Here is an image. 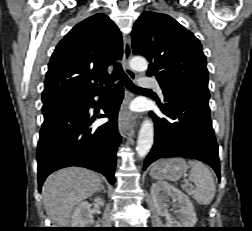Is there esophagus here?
Masks as SVG:
<instances>
[{
  "instance_id": "obj_1",
  "label": "esophagus",
  "mask_w": 252,
  "mask_h": 231,
  "mask_svg": "<svg viewBox=\"0 0 252 231\" xmlns=\"http://www.w3.org/2000/svg\"><path fill=\"white\" fill-rule=\"evenodd\" d=\"M123 46H124V56H123V68L127 75L132 79L136 80V73L130 68L129 61L132 55V48L129 39L123 34ZM133 99V95L130 92H126L125 100L121 106L119 116H118V128L120 133L123 135L125 132L133 131L135 127V122L129 114V104Z\"/></svg>"
}]
</instances>
